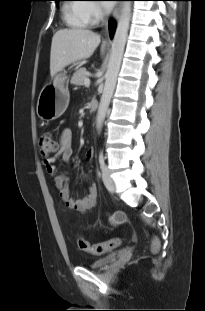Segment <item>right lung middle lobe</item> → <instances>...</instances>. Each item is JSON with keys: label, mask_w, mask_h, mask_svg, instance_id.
I'll use <instances>...</instances> for the list:
<instances>
[{"label": "right lung middle lobe", "mask_w": 205, "mask_h": 311, "mask_svg": "<svg viewBox=\"0 0 205 311\" xmlns=\"http://www.w3.org/2000/svg\"><path fill=\"white\" fill-rule=\"evenodd\" d=\"M58 1H60V0H56V3H58Z\"/></svg>", "instance_id": "dd1d6c3e"}]
</instances>
